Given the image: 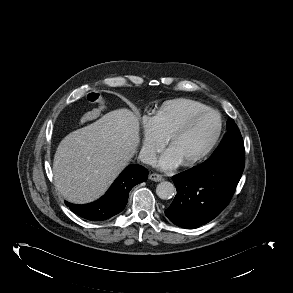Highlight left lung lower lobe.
Instances as JSON below:
<instances>
[{"label":"left lung lower lobe","mask_w":293,"mask_h":293,"mask_svg":"<svg viewBox=\"0 0 293 293\" xmlns=\"http://www.w3.org/2000/svg\"><path fill=\"white\" fill-rule=\"evenodd\" d=\"M244 147L222 148L220 157L173 176L177 194L165 210L176 225L194 229L228 205L244 170Z\"/></svg>","instance_id":"1"}]
</instances>
